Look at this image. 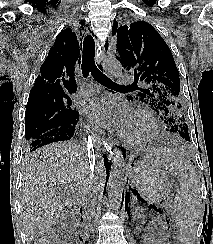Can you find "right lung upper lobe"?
Masks as SVG:
<instances>
[{
    "label": "right lung upper lobe",
    "mask_w": 213,
    "mask_h": 244,
    "mask_svg": "<svg viewBox=\"0 0 213 244\" xmlns=\"http://www.w3.org/2000/svg\"><path fill=\"white\" fill-rule=\"evenodd\" d=\"M79 43L70 28L61 31L41 66V74L35 80L29 98L44 95H70L76 92L74 77L79 59Z\"/></svg>",
    "instance_id": "right-lung-upper-lobe-1"
}]
</instances>
